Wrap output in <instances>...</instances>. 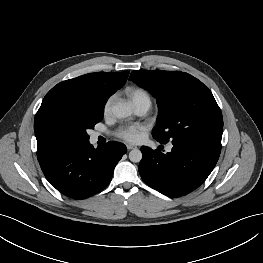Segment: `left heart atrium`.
<instances>
[{
  "label": "left heart atrium",
  "instance_id": "left-heart-atrium-1",
  "mask_svg": "<svg viewBox=\"0 0 263 263\" xmlns=\"http://www.w3.org/2000/svg\"><path fill=\"white\" fill-rule=\"evenodd\" d=\"M142 127L139 125L123 126L116 132V135L127 142H137L141 135Z\"/></svg>",
  "mask_w": 263,
  "mask_h": 263
}]
</instances>
